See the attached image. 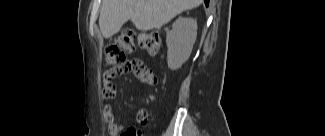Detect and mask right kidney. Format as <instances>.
<instances>
[{
	"label": "right kidney",
	"mask_w": 325,
	"mask_h": 136,
	"mask_svg": "<svg viewBox=\"0 0 325 136\" xmlns=\"http://www.w3.org/2000/svg\"><path fill=\"white\" fill-rule=\"evenodd\" d=\"M197 37V22L192 18H178L167 32V63L171 70L179 69L189 58Z\"/></svg>",
	"instance_id": "obj_1"
}]
</instances>
